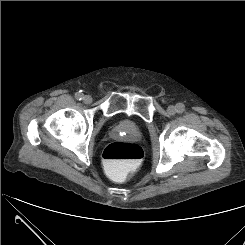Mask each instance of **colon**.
Returning <instances> with one entry per match:
<instances>
[{"mask_svg": "<svg viewBox=\"0 0 245 245\" xmlns=\"http://www.w3.org/2000/svg\"><path fill=\"white\" fill-rule=\"evenodd\" d=\"M143 156V149L134 143L112 142L103 152L105 168L116 181L125 180L127 169L137 166Z\"/></svg>", "mask_w": 245, "mask_h": 245, "instance_id": "colon-1", "label": "colon"}]
</instances>
